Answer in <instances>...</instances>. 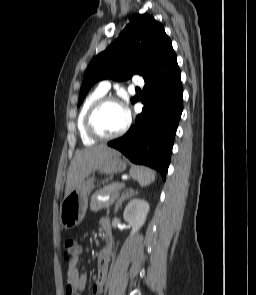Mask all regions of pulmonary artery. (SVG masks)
<instances>
[{
    "instance_id": "e3ab8cb5",
    "label": "pulmonary artery",
    "mask_w": 256,
    "mask_h": 295,
    "mask_svg": "<svg viewBox=\"0 0 256 295\" xmlns=\"http://www.w3.org/2000/svg\"><path fill=\"white\" fill-rule=\"evenodd\" d=\"M132 83L135 84L136 86H143L144 84V80L143 78L140 76V75H135L133 80H132ZM98 88L104 92V93H107L110 88H111V81L109 80H103L99 83V86Z\"/></svg>"
}]
</instances>
